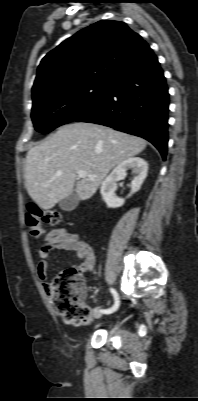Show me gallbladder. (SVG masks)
Here are the masks:
<instances>
[{
	"label": "gallbladder",
	"instance_id": "gallbladder-1",
	"mask_svg": "<svg viewBox=\"0 0 198 401\" xmlns=\"http://www.w3.org/2000/svg\"><path fill=\"white\" fill-rule=\"evenodd\" d=\"M78 203L79 196L76 190H73V192L69 196L59 202V207L64 211H72L77 207Z\"/></svg>",
	"mask_w": 198,
	"mask_h": 401
}]
</instances>
